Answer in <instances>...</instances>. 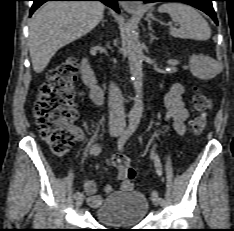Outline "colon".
Segmentation results:
<instances>
[{"label":"colon","mask_w":234,"mask_h":231,"mask_svg":"<svg viewBox=\"0 0 234 231\" xmlns=\"http://www.w3.org/2000/svg\"><path fill=\"white\" fill-rule=\"evenodd\" d=\"M77 68V60L70 56L49 70L34 107L41 136L57 155L65 154L74 141L71 124L77 117L73 100ZM193 106L197 116L192 127L199 134L207 127L212 102L208 95L197 90L193 97ZM113 162L120 180L134 179L135 171L127 156L116 155Z\"/></svg>","instance_id":"5ec220e1"}]
</instances>
